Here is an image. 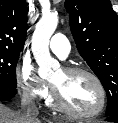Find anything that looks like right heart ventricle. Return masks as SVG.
<instances>
[{
  "instance_id": "1",
  "label": "right heart ventricle",
  "mask_w": 118,
  "mask_h": 123,
  "mask_svg": "<svg viewBox=\"0 0 118 123\" xmlns=\"http://www.w3.org/2000/svg\"><path fill=\"white\" fill-rule=\"evenodd\" d=\"M48 103H49V104H52V100H51V99H48Z\"/></svg>"
}]
</instances>
